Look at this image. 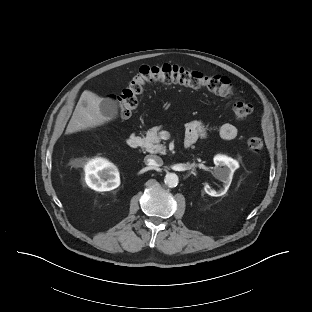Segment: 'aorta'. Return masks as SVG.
Returning <instances> with one entry per match:
<instances>
[{
    "label": "aorta",
    "mask_w": 312,
    "mask_h": 312,
    "mask_svg": "<svg viewBox=\"0 0 312 312\" xmlns=\"http://www.w3.org/2000/svg\"><path fill=\"white\" fill-rule=\"evenodd\" d=\"M164 182L168 187L174 188L178 185L179 179L175 173H167Z\"/></svg>",
    "instance_id": "aorta-1"
}]
</instances>
